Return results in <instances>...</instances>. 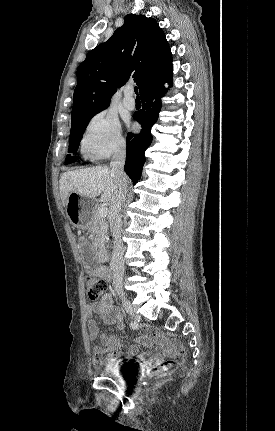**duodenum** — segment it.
I'll return each mask as SVG.
<instances>
[{
	"label": "duodenum",
	"mask_w": 275,
	"mask_h": 431,
	"mask_svg": "<svg viewBox=\"0 0 275 431\" xmlns=\"http://www.w3.org/2000/svg\"><path fill=\"white\" fill-rule=\"evenodd\" d=\"M96 257H97V260L99 262H105L108 259V255H107L106 251L103 248H99L96 251Z\"/></svg>",
	"instance_id": "410a0bca"
}]
</instances>
